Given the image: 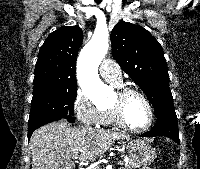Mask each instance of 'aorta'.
<instances>
[{
	"mask_svg": "<svg viewBox=\"0 0 200 169\" xmlns=\"http://www.w3.org/2000/svg\"><path fill=\"white\" fill-rule=\"evenodd\" d=\"M109 49L108 38L94 34L92 39L81 50L77 63V75L80 87L93 102L105 99L110 88L98 75V67Z\"/></svg>",
	"mask_w": 200,
	"mask_h": 169,
	"instance_id": "762f6f07",
	"label": "aorta"
}]
</instances>
